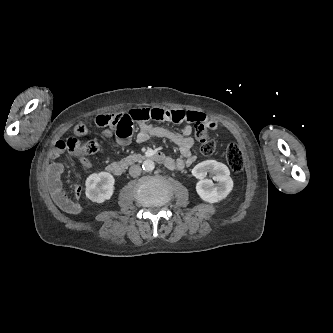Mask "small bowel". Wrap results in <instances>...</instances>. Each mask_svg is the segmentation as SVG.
<instances>
[{
    "mask_svg": "<svg viewBox=\"0 0 333 333\" xmlns=\"http://www.w3.org/2000/svg\"><path fill=\"white\" fill-rule=\"evenodd\" d=\"M128 117L130 132L127 135H116L119 145H126L132 135L134 124L139 126L136 139L138 142L148 141L152 137H162L179 147L181 158L176 160L167 157V162L164 164L168 169L182 170L185 166L193 164L195 156L192 154L194 141L191 137L193 124H203L206 127L214 130L217 128L216 121L203 112L195 110H180V109H163V108H135L125 113ZM155 121H168L171 123L184 122L181 132H175L150 123ZM104 136L111 137L113 131L106 129L103 132ZM116 134V133H115ZM81 163L84 168L90 169L92 164L89 159L82 158ZM63 171V165L57 161H53L47 170L48 186L54 202L63 210L73 212L75 210L73 203L65 193L60 175ZM81 188L77 187L74 190V195L79 198Z\"/></svg>",
    "mask_w": 333,
    "mask_h": 333,
    "instance_id": "obj_1",
    "label": "small bowel"
}]
</instances>
